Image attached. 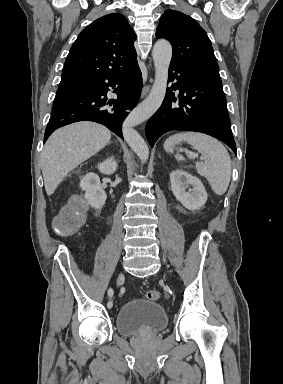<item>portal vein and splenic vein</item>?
Wrapping results in <instances>:
<instances>
[{
  "label": "portal vein and splenic vein",
  "instance_id": "18ae733b",
  "mask_svg": "<svg viewBox=\"0 0 283 384\" xmlns=\"http://www.w3.org/2000/svg\"><path fill=\"white\" fill-rule=\"evenodd\" d=\"M189 156H191V158H199L198 154H194V152H189ZM200 160H206V158L201 156Z\"/></svg>",
  "mask_w": 283,
  "mask_h": 384
}]
</instances>
